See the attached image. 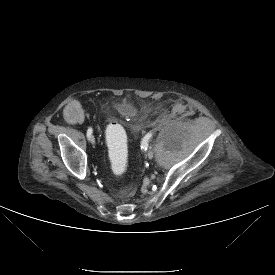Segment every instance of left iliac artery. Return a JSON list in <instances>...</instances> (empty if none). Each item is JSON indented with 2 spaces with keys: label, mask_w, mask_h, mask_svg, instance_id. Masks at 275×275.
<instances>
[{
  "label": "left iliac artery",
  "mask_w": 275,
  "mask_h": 275,
  "mask_svg": "<svg viewBox=\"0 0 275 275\" xmlns=\"http://www.w3.org/2000/svg\"><path fill=\"white\" fill-rule=\"evenodd\" d=\"M152 137V133L150 132V133H148L147 134V139H150ZM143 148V147H142ZM147 148H145V150H146Z\"/></svg>",
  "instance_id": "obj_1"
}]
</instances>
